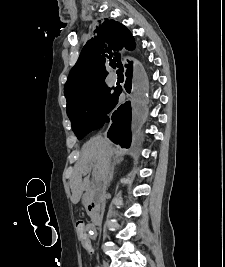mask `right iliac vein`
Here are the masks:
<instances>
[{
	"label": "right iliac vein",
	"mask_w": 225,
	"mask_h": 267,
	"mask_svg": "<svg viewBox=\"0 0 225 267\" xmlns=\"http://www.w3.org/2000/svg\"><path fill=\"white\" fill-rule=\"evenodd\" d=\"M102 267H109L108 264L104 260L102 261Z\"/></svg>",
	"instance_id": "63e3f726"
}]
</instances>
